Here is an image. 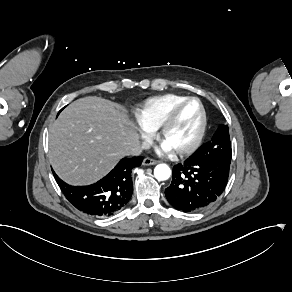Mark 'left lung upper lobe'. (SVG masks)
I'll return each instance as SVG.
<instances>
[{"mask_svg":"<svg viewBox=\"0 0 292 292\" xmlns=\"http://www.w3.org/2000/svg\"><path fill=\"white\" fill-rule=\"evenodd\" d=\"M203 160L231 161V142L227 125H220L211 140L202 145L195 153Z\"/></svg>","mask_w":292,"mask_h":292,"instance_id":"obj_1","label":"left lung upper lobe"}]
</instances>
